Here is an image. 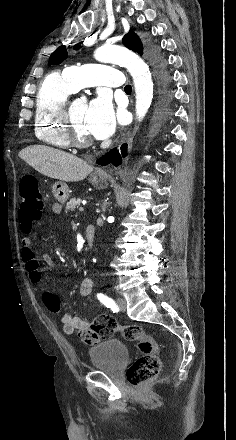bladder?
Instances as JSON below:
<instances>
[{
	"instance_id": "1",
	"label": "bladder",
	"mask_w": 236,
	"mask_h": 440,
	"mask_svg": "<svg viewBox=\"0 0 236 440\" xmlns=\"http://www.w3.org/2000/svg\"><path fill=\"white\" fill-rule=\"evenodd\" d=\"M90 364L94 371L118 375L128 363V350L117 339H108L89 349Z\"/></svg>"
}]
</instances>
